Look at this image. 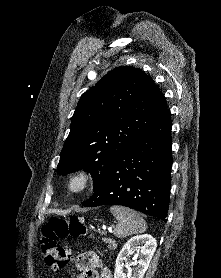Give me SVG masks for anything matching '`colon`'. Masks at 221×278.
<instances>
[{"instance_id": "colon-1", "label": "colon", "mask_w": 221, "mask_h": 278, "mask_svg": "<svg viewBox=\"0 0 221 278\" xmlns=\"http://www.w3.org/2000/svg\"><path fill=\"white\" fill-rule=\"evenodd\" d=\"M86 236L88 231L80 217L72 216L68 219L52 217L41 228L39 239L45 263L56 270L65 268L72 257V250L64 246L61 240Z\"/></svg>"}]
</instances>
